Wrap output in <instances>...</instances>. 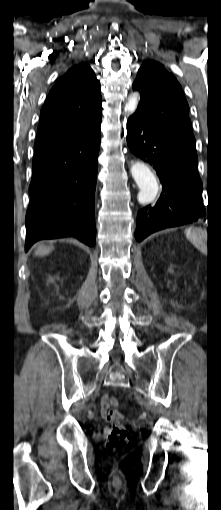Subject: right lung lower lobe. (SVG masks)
<instances>
[{
  "mask_svg": "<svg viewBox=\"0 0 221 510\" xmlns=\"http://www.w3.org/2000/svg\"><path fill=\"white\" fill-rule=\"evenodd\" d=\"M101 120L88 130L35 148L25 251L37 241L75 237L94 246Z\"/></svg>",
  "mask_w": 221,
  "mask_h": 510,
  "instance_id": "obj_1",
  "label": "right lung lower lobe"
}]
</instances>
